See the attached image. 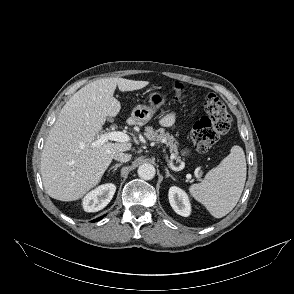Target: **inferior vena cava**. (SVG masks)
<instances>
[{"mask_svg": "<svg viewBox=\"0 0 294 294\" xmlns=\"http://www.w3.org/2000/svg\"><path fill=\"white\" fill-rule=\"evenodd\" d=\"M131 157H132L131 154L119 152V153H116L113 158L120 162H128L131 159Z\"/></svg>", "mask_w": 294, "mask_h": 294, "instance_id": "inferior-vena-cava-1", "label": "inferior vena cava"}]
</instances>
